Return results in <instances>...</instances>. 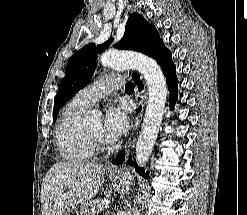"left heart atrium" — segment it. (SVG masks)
Wrapping results in <instances>:
<instances>
[{"instance_id": "obj_1", "label": "left heart atrium", "mask_w": 247, "mask_h": 215, "mask_svg": "<svg viewBox=\"0 0 247 215\" xmlns=\"http://www.w3.org/2000/svg\"><path fill=\"white\" fill-rule=\"evenodd\" d=\"M128 121L122 106L111 105L107 108L102 133L107 141H114L126 133Z\"/></svg>"}]
</instances>
